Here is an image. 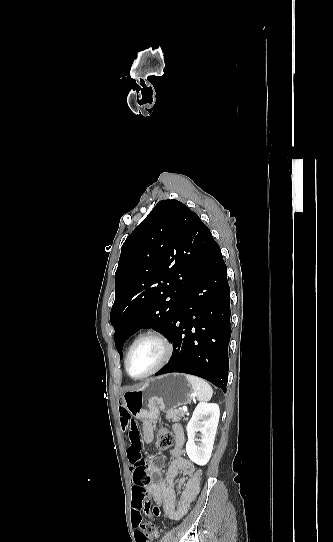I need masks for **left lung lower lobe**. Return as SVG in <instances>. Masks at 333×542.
<instances>
[{"label":"left lung lower lobe","instance_id":"left-lung-lower-lobe-1","mask_svg":"<svg viewBox=\"0 0 333 542\" xmlns=\"http://www.w3.org/2000/svg\"><path fill=\"white\" fill-rule=\"evenodd\" d=\"M230 289L227 268L213 240L188 287L169 334L173 354L155 375L181 372L204 378L226 392L229 370Z\"/></svg>","mask_w":333,"mask_h":542}]
</instances>
